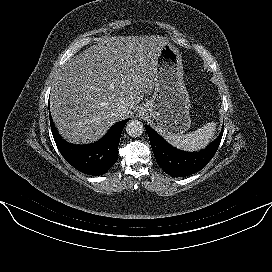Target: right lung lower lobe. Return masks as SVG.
<instances>
[{
  "instance_id": "obj_1",
  "label": "right lung lower lobe",
  "mask_w": 272,
  "mask_h": 272,
  "mask_svg": "<svg viewBox=\"0 0 272 272\" xmlns=\"http://www.w3.org/2000/svg\"><path fill=\"white\" fill-rule=\"evenodd\" d=\"M128 120L114 124L107 134L95 143L73 145L60 137L50 115L52 134L62 156L75 169L93 176L103 175L117 162L120 137Z\"/></svg>"
}]
</instances>
